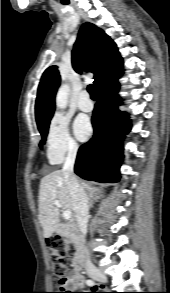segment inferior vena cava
<instances>
[{
    "mask_svg": "<svg viewBox=\"0 0 170 293\" xmlns=\"http://www.w3.org/2000/svg\"><path fill=\"white\" fill-rule=\"evenodd\" d=\"M77 151V145H72L69 147L68 154L63 166V173L65 177V182L72 198V206L75 212L76 221L82 233V237H84L87 233L89 202L83 187L80 185L73 172ZM84 251L86 254L85 267L87 270L92 269L93 264L90 260L87 248H85Z\"/></svg>",
    "mask_w": 170,
    "mask_h": 293,
    "instance_id": "1",
    "label": "inferior vena cava"
}]
</instances>
